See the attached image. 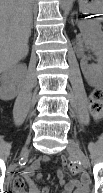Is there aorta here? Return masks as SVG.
<instances>
[{
  "label": "aorta",
  "instance_id": "aorta-1",
  "mask_svg": "<svg viewBox=\"0 0 103 193\" xmlns=\"http://www.w3.org/2000/svg\"><path fill=\"white\" fill-rule=\"evenodd\" d=\"M73 0H60V8L65 11L69 12L72 7Z\"/></svg>",
  "mask_w": 103,
  "mask_h": 193
}]
</instances>
